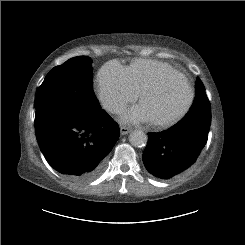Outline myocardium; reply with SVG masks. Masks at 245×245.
I'll return each mask as SVG.
<instances>
[{"instance_id":"obj_1","label":"myocardium","mask_w":245,"mask_h":245,"mask_svg":"<svg viewBox=\"0 0 245 245\" xmlns=\"http://www.w3.org/2000/svg\"><path fill=\"white\" fill-rule=\"evenodd\" d=\"M172 76H180L182 77L188 88L190 91V96H189V100L187 102V104L185 105V107L176 115L168 118V119H163V120H152L150 121V123L158 128H167L170 126L175 125L176 123H178L181 119H183L186 114L190 111L191 107L193 106V103L195 101V89L190 81V79L188 78L187 75H185L184 73H182L179 70H171L168 71L166 73L161 74L151 85H149L148 87H146L141 93H140V103L149 95L156 93L157 91L160 90L162 84L164 83L165 80H167L168 78L172 77Z\"/></svg>"}]
</instances>
